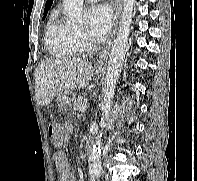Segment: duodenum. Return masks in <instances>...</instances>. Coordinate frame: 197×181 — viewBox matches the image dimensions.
<instances>
[{
  "instance_id": "410a0bca",
  "label": "duodenum",
  "mask_w": 197,
  "mask_h": 181,
  "mask_svg": "<svg viewBox=\"0 0 197 181\" xmlns=\"http://www.w3.org/2000/svg\"><path fill=\"white\" fill-rule=\"evenodd\" d=\"M86 151H87V156L90 157L91 156V145H90V142H87V144H86Z\"/></svg>"
}]
</instances>
